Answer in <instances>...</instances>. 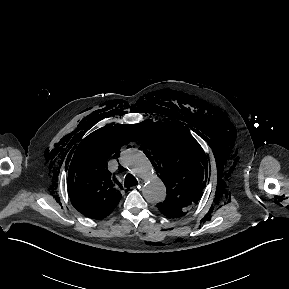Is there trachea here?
<instances>
[{
	"mask_svg": "<svg viewBox=\"0 0 289 289\" xmlns=\"http://www.w3.org/2000/svg\"><path fill=\"white\" fill-rule=\"evenodd\" d=\"M138 184V181L132 174H127L124 181L125 187H132Z\"/></svg>",
	"mask_w": 289,
	"mask_h": 289,
	"instance_id": "1",
	"label": "trachea"
}]
</instances>
